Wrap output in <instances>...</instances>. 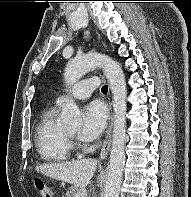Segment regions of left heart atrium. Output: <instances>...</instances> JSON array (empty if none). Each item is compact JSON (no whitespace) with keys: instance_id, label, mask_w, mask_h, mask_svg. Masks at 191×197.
<instances>
[{"instance_id":"39dd6f15","label":"left heart atrium","mask_w":191,"mask_h":197,"mask_svg":"<svg viewBox=\"0 0 191 197\" xmlns=\"http://www.w3.org/2000/svg\"><path fill=\"white\" fill-rule=\"evenodd\" d=\"M82 120V128L79 132L80 138L86 141L98 138L106 126V107L100 101L89 103L83 110Z\"/></svg>"}]
</instances>
